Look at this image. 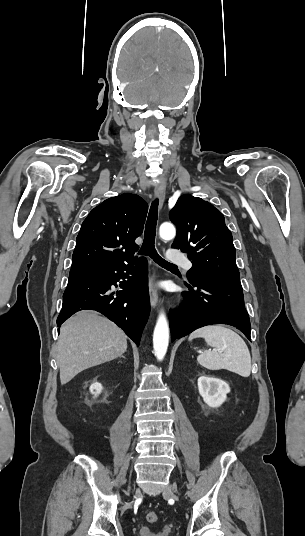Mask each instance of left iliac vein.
Wrapping results in <instances>:
<instances>
[{
    "instance_id": "1",
    "label": "left iliac vein",
    "mask_w": 305,
    "mask_h": 536,
    "mask_svg": "<svg viewBox=\"0 0 305 536\" xmlns=\"http://www.w3.org/2000/svg\"><path fill=\"white\" fill-rule=\"evenodd\" d=\"M164 494H173V497H176L178 490L175 485L171 484L164 489Z\"/></svg>"
}]
</instances>
